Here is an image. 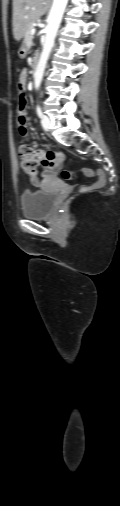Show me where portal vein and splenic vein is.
Instances as JSON below:
<instances>
[{
	"instance_id": "18ae733b",
	"label": "portal vein and splenic vein",
	"mask_w": 120,
	"mask_h": 506,
	"mask_svg": "<svg viewBox=\"0 0 120 506\" xmlns=\"http://www.w3.org/2000/svg\"><path fill=\"white\" fill-rule=\"evenodd\" d=\"M32 9H34V8H32ZM35 32H36V30L33 28V29L31 30V35H34V34H35Z\"/></svg>"
}]
</instances>
